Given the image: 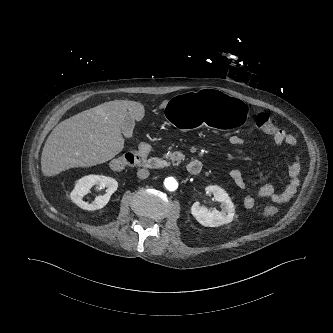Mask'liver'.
<instances>
[{
  "mask_svg": "<svg viewBox=\"0 0 333 333\" xmlns=\"http://www.w3.org/2000/svg\"><path fill=\"white\" fill-rule=\"evenodd\" d=\"M164 100L159 109L165 108ZM127 114L141 121L143 104L113 100L60 122L48 136L41 155L44 176L74 167H91L114 158L124 148L121 126Z\"/></svg>",
  "mask_w": 333,
  "mask_h": 333,
  "instance_id": "obj_1",
  "label": "liver"
}]
</instances>
